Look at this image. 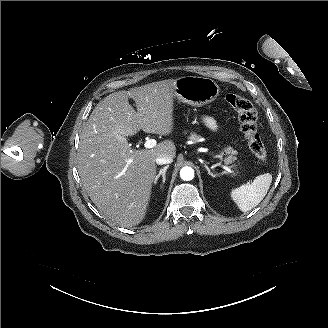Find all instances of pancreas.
<instances>
[{
    "mask_svg": "<svg viewBox=\"0 0 328 328\" xmlns=\"http://www.w3.org/2000/svg\"><path fill=\"white\" fill-rule=\"evenodd\" d=\"M225 152H226V154H230V153H232V154H236V152L233 151L232 148H231L230 146L226 148ZM236 159H237V157H235V156H234V157L230 156V159L226 160V162L231 163L232 160H236Z\"/></svg>",
    "mask_w": 328,
    "mask_h": 328,
    "instance_id": "pancreas-1",
    "label": "pancreas"
}]
</instances>
